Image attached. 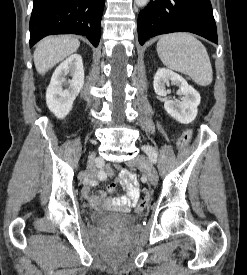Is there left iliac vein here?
<instances>
[{
  "label": "left iliac vein",
  "instance_id": "obj_1",
  "mask_svg": "<svg viewBox=\"0 0 247 275\" xmlns=\"http://www.w3.org/2000/svg\"><path fill=\"white\" fill-rule=\"evenodd\" d=\"M129 164L131 166L140 168L143 171V173L146 175V177L148 178L151 184L154 185L157 183L158 181L157 171L147 157H145L144 155H138Z\"/></svg>",
  "mask_w": 247,
  "mask_h": 275
}]
</instances>
